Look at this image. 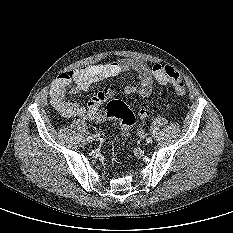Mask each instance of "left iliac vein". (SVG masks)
Wrapping results in <instances>:
<instances>
[{
    "mask_svg": "<svg viewBox=\"0 0 233 233\" xmlns=\"http://www.w3.org/2000/svg\"><path fill=\"white\" fill-rule=\"evenodd\" d=\"M139 139L140 140H145L146 139V133L145 132H140L139 133Z\"/></svg>",
    "mask_w": 233,
    "mask_h": 233,
    "instance_id": "left-iliac-vein-1",
    "label": "left iliac vein"
}]
</instances>
